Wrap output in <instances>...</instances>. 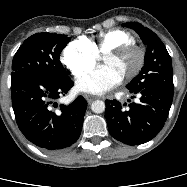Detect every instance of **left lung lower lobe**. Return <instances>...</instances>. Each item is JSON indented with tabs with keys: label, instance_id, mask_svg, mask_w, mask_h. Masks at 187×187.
I'll list each match as a JSON object with an SVG mask.
<instances>
[{
	"label": "left lung lower lobe",
	"instance_id": "1",
	"mask_svg": "<svg viewBox=\"0 0 187 187\" xmlns=\"http://www.w3.org/2000/svg\"><path fill=\"white\" fill-rule=\"evenodd\" d=\"M130 92L138 95L139 101L124 109L117 100H106L105 117L113 138L127 145H139L153 139L163 128L174 91L146 88Z\"/></svg>",
	"mask_w": 187,
	"mask_h": 187
}]
</instances>
